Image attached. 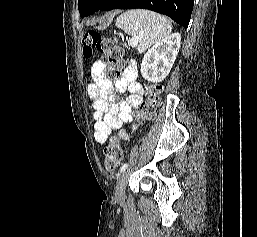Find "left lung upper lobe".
I'll use <instances>...</instances> for the list:
<instances>
[{
    "instance_id": "left-lung-upper-lobe-1",
    "label": "left lung upper lobe",
    "mask_w": 257,
    "mask_h": 237,
    "mask_svg": "<svg viewBox=\"0 0 257 237\" xmlns=\"http://www.w3.org/2000/svg\"><path fill=\"white\" fill-rule=\"evenodd\" d=\"M109 0H78V9L82 18L101 10Z\"/></svg>"
}]
</instances>
